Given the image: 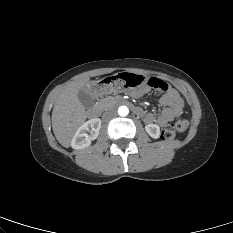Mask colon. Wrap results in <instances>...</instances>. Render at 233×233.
Returning a JSON list of instances; mask_svg holds the SVG:
<instances>
[{"instance_id": "1", "label": "colon", "mask_w": 233, "mask_h": 233, "mask_svg": "<svg viewBox=\"0 0 233 233\" xmlns=\"http://www.w3.org/2000/svg\"><path fill=\"white\" fill-rule=\"evenodd\" d=\"M147 84L149 87L156 89L158 91H165L168 88V84L158 78L149 79ZM188 125L189 123L187 119L184 118L177 119L174 123L164 128V130L162 131V138L165 140H171L176 136L177 133H182L186 131Z\"/></svg>"}]
</instances>
